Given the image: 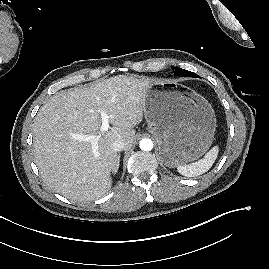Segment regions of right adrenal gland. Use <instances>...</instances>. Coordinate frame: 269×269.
Listing matches in <instances>:
<instances>
[{
  "instance_id": "right-adrenal-gland-1",
  "label": "right adrenal gland",
  "mask_w": 269,
  "mask_h": 269,
  "mask_svg": "<svg viewBox=\"0 0 269 269\" xmlns=\"http://www.w3.org/2000/svg\"><path fill=\"white\" fill-rule=\"evenodd\" d=\"M119 166H120V154L118 155L117 165H116L114 173L118 172Z\"/></svg>"
}]
</instances>
